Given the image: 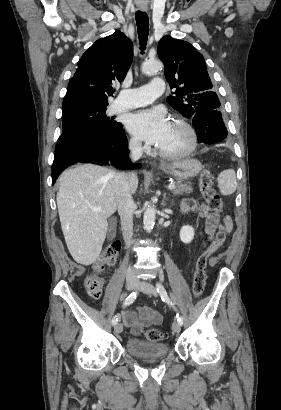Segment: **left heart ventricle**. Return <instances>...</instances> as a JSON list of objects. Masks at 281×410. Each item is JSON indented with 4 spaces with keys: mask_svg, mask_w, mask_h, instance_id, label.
I'll use <instances>...</instances> for the list:
<instances>
[{
    "mask_svg": "<svg viewBox=\"0 0 281 410\" xmlns=\"http://www.w3.org/2000/svg\"><path fill=\"white\" fill-rule=\"evenodd\" d=\"M188 144L189 135L187 131L181 126L170 122L169 129L158 148L168 152H177L187 147Z\"/></svg>",
    "mask_w": 281,
    "mask_h": 410,
    "instance_id": "obj_1",
    "label": "left heart ventricle"
}]
</instances>
